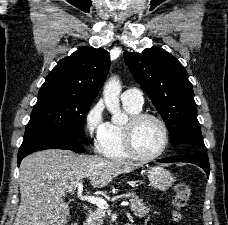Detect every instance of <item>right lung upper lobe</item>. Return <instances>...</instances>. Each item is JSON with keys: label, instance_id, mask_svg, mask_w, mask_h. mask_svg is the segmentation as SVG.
I'll use <instances>...</instances> for the list:
<instances>
[{"label": "right lung upper lobe", "instance_id": "right-lung-upper-lobe-1", "mask_svg": "<svg viewBox=\"0 0 228 225\" xmlns=\"http://www.w3.org/2000/svg\"><path fill=\"white\" fill-rule=\"evenodd\" d=\"M110 58L103 49L81 47L62 59L41 88H60L94 99L108 74Z\"/></svg>", "mask_w": 228, "mask_h": 225}]
</instances>
